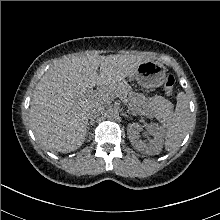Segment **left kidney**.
<instances>
[{
  "mask_svg": "<svg viewBox=\"0 0 220 220\" xmlns=\"http://www.w3.org/2000/svg\"><path fill=\"white\" fill-rule=\"evenodd\" d=\"M142 126L138 123H132L128 125L127 134L133 147L145 154L155 155L159 154L162 150L164 129L156 123H151L148 126V131L153 135L154 139L149 143L145 144L139 136Z\"/></svg>",
  "mask_w": 220,
  "mask_h": 220,
  "instance_id": "obj_1",
  "label": "left kidney"
}]
</instances>
